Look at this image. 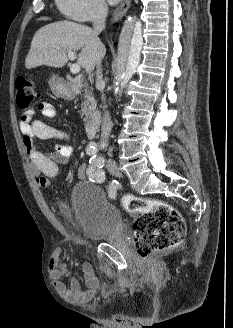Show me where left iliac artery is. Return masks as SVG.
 Wrapping results in <instances>:
<instances>
[{
    "instance_id": "1",
    "label": "left iliac artery",
    "mask_w": 233,
    "mask_h": 328,
    "mask_svg": "<svg viewBox=\"0 0 233 328\" xmlns=\"http://www.w3.org/2000/svg\"><path fill=\"white\" fill-rule=\"evenodd\" d=\"M90 165L87 174L92 182L102 183L105 180V173L102 170L104 166V158L102 156L93 155L89 161Z\"/></svg>"
}]
</instances>
